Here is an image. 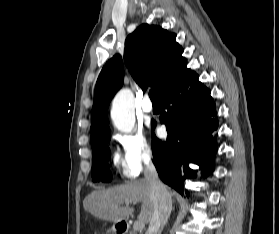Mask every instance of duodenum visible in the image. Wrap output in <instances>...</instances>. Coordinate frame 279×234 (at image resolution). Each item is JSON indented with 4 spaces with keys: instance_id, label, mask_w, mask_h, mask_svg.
<instances>
[{
    "instance_id": "1",
    "label": "duodenum",
    "mask_w": 279,
    "mask_h": 234,
    "mask_svg": "<svg viewBox=\"0 0 279 234\" xmlns=\"http://www.w3.org/2000/svg\"><path fill=\"white\" fill-rule=\"evenodd\" d=\"M126 231H127L126 225H125V224H121V225L119 226L118 232H119L120 234H125Z\"/></svg>"
}]
</instances>
